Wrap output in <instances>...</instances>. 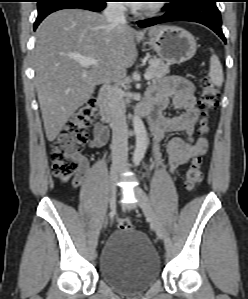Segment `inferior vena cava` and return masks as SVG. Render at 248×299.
Wrapping results in <instances>:
<instances>
[{
    "label": "inferior vena cava",
    "mask_w": 248,
    "mask_h": 299,
    "mask_svg": "<svg viewBox=\"0 0 248 299\" xmlns=\"http://www.w3.org/2000/svg\"><path fill=\"white\" fill-rule=\"evenodd\" d=\"M125 7L118 2L107 4L103 15L107 22L114 25H125ZM112 136V165L119 168L127 164L128 129L126 124V109L122 91L117 86L112 89L110 102Z\"/></svg>",
    "instance_id": "602c4592"
}]
</instances>
